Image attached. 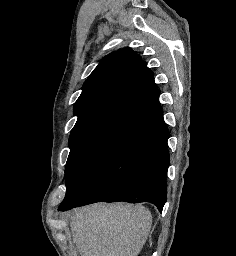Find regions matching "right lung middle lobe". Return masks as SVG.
I'll use <instances>...</instances> for the list:
<instances>
[{
	"mask_svg": "<svg viewBox=\"0 0 236 256\" xmlns=\"http://www.w3.org/2000/svg\"><path fill=\"white\" fill-rule=\"evenodd\" d=\"M153 124L123 114H111L75 124L65 167L66 195L71 198L107 159Z\"/></svg>",
	"mask_w": 236,
	"mask_h": 256,
	"instance_id": "dd1d6c3e",
	"label": "right lung middle lobe"
}]
</instances>
